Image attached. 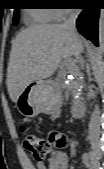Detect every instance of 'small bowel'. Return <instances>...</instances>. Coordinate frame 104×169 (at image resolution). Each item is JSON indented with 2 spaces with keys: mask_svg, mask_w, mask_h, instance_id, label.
<instances>
[{
  "mask_svg": "<svg viewBox=\"0 0 104 169\" xmlns=\"http://www.w3.org/2000/svg\"><path fill=\"white\" fill-rule=\"evenodd\" d=\"M56 140H63L64 143L66 142V138L63 134H58ZM68 159L69 157L66 150L55 148L51 151L47 164L40 162L37 164V169H67ZM81 163L87 168L92 166L90 156L87 154L81 156Z\"/></svg>",
  "mask_w": 104,
  "mask_h": 169,
  "instance_id": "c3829d8e",
  "label": "small bowel"
}]
</instances>
